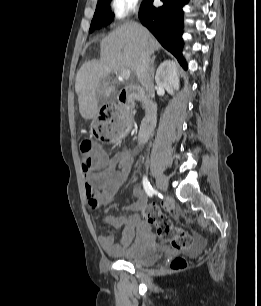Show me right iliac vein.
Returning <instances> with one entry per match:
<instances>
[{
  "label": "right iliac vein",
  "instance_id": "1",
  "mask_svg": "<svg viewBox=\"0 0 261 306\" xmlns=\"http://www.w3.org/2000/svg\"><path fill=\"white\" fill-rule=\"evenodd\" d=\"M156 175V183L159 189L166 191L168 188V180L167 177L159 170H155Z\"/></svg>",
  "mask_w": 261,
  "mask_h": 306
}]
</instances>
